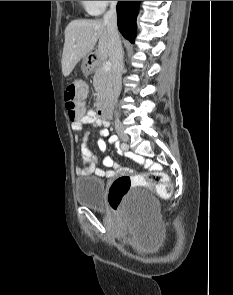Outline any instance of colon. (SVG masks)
Listing matches in <instances>:
<instances>
[{
  "instance_id": "1",
  "label": "colon",
  "mask_w": 233,
  "mask_h": 295,
  "mask_svg": "<svg viewBox=\"0 0 233 295\" xmlns=\"http://www.w3.org/2000/svg\"><path fill=\"white\" fill-rule=\"evenodd\" d=\"M87 88L81 81L69 84L64 91V103L71 120H77L84 113V101ZM154 186L162 197L171 194V185L165 174L150 172L140 176H120L115 179L109 189L108 203L113 210H118L132 189L143 186Z\"/></svg>"
}]
</instances>
